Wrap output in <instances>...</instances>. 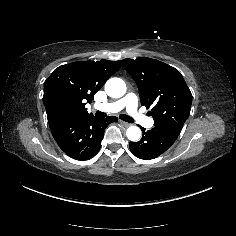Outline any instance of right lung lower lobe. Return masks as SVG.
Wrapping results in <instances>:
<instances>
[{"label":"right lung lower lobe","instance_id":"right-lung-lower-lobe-1","mask_svg":"<svg viewBox=\"0 0 236 236\" xmlns=\"http://www.w3.org/2000/svg\"><path fill=\"white\" fill-rule=\"evenodd\" d=\"M115 116L98 119L94 116H80L50 126L58 146L69 157L88 160L98 153L104 129L111 122H117Z\"/></svg>","mask_w":236,"mask_h":236}]
</instances>
